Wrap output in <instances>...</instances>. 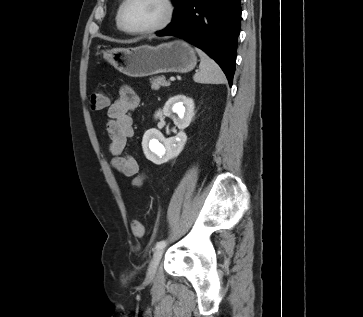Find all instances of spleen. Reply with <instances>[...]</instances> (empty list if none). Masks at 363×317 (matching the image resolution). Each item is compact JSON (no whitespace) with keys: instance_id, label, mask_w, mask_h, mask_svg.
<instances>
[{"instance_id":"obj_1","label":"spleen","mask_w":363,"mask_h":317,"mask_svg":"<svg viewBox=\"0 0 363 317\" xmlns=\"http://www.w3.org/2000/svg\"><path fill=\"white\" fill-rule=\"evenodd\" d=\"M196 51L201 62L199 65L200 71L193 76V80L197 83H225L226 77L220 66L201 49L196 48Z\"/></svg>"}]
</instances>
